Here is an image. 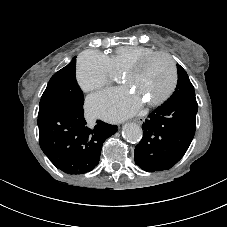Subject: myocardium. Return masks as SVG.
Masks as SVG:
<instances>
[{
  "mask_svg": "<svg viewBox=\"0 0 227 227\" xmlns=\"http://www.w3.org/2000/svg\"><path fill=\"white\" fill-rule=\"evenodd\" d=\"M156 57H164L169 61L172 68L173 78H172V83L168 88V90L159 98L152 101H148L147 102L148 106H158L164 103L166 100H168L171 97V95L176 90V87L178 85V69H177L176 62L174 61L172 56L166 52H159V51L153 52L139 59L136 63L128 67L124 72L125 76L136 74L139 71H141L151 60H153Z\"/></svg>",
  "mask_w": 227,
  "mask_h": 227,
  "instance_id": "obj_1",
  "label": "myocardium"
}]
</instances>
